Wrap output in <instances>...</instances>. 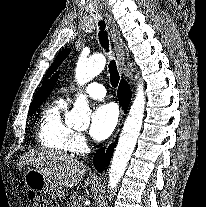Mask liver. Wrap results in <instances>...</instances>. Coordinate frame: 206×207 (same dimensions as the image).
<instances>
[{
    "mask_svg": "<svg viewBox=\"0 0 206 207\" xmlns=\"http://www.w3.org/2000/svg\"><path fill=\"white\" fill-rule=\"evenodd\" d=\"M23 163L30 164L44 174L54 186L62 190V194L63 188L77 185L86 172L83 162L53 150L29 152L23 156ZM89 184L90 179L87 178L85 187Z\"/></svg>",
    "mask_w": 206,
    "mask_h": 207,
    "instance_id": "1",
    "label": "liver"
}]
</instances>
